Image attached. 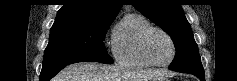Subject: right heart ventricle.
Returning a JSON list of instances; mask_svg holds the SVG:
<instances>
[{"mask_svg":"<svg viewBox=\"0 0 237 81\" xmlns=\"http://www.w3.org/2000/svg\"><path fill=\"white\" fill-rule=\"evenodd\" d=\"M152 27L149 20L139 13L126 14L114 29L112 51L116 61L135 68L150 67L142 53V37Z\"/></svg>","mask_w":237,"mask_h":81,"instance_id":"obj_1","label":"right heart ventricle"}]
</instances>
